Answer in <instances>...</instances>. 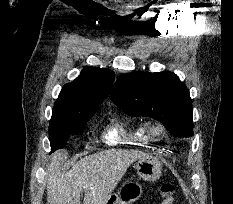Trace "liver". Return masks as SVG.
I'll use <instances>...</instances> for the list:
<instances>
[{"instance_id":"1","label":"liver","mask_w":233,"mask_h":204,"mask_svg":"<svg viewBox=\"0 0 233 204\" xmlns=\"http://www.w3.org/2000/svg\"><path fill=\"white\" fill-rule=\"evenodd\" d=\"M147 154L111 149L81 158L68 171L61 169L66 152L57 151L47 167V204H106L128 167Z\"/></svg>"}]
</instances>
